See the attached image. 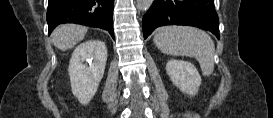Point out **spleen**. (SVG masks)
<instances>
[{
    "instance_id": "3e777b00",
    "label": "spleen",
    "mask_w": 273,
    "mask_h": 118,
    "mask_svg": "<svg viewBox=\"0 0 273 118\" xmlns=\"http://www.w3.org/2000/svg\"><path fill=\"white\" fill-rule=\"evenodd\" d=\"M153 41L165 54L196 58L203 74H212L215 46L205 32L191 27H163L158 29Z\"/></svg>"
}]
</instances>
